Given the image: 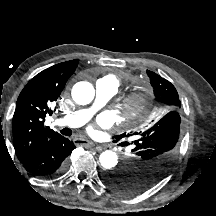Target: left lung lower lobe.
I'll return each mask as SVG.
<instances>
[{
    "label": "left lung lower lobe",
    "instance_id": "left-lung-lower-lobe-1",
    "mask_svg": "<svg viewBox=\"0 0 216 216\" xmlns=\"http://www.w3.org/2000/svg\"><path fill=\"white\" fill-rule=\"evenodd\" d=\"M123 165V164H122ZM122 167V166H121ZM111 174H106L103 178L104 183L107 185V180L109 179ZM108 186V185H107ZM111 188V187H110ZM112 189V188H111ZM122 194V193H121ZM123 195H133V194H123Z\"/></svg>",
    "mask_w": 216,
    "mask_h": 216
}]
</instances>
